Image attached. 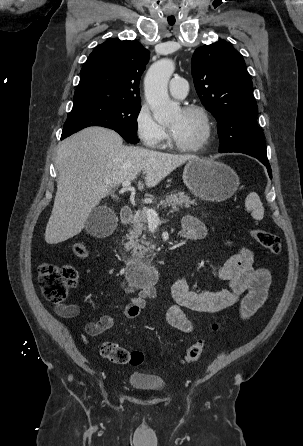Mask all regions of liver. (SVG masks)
<instances>
[{
    "label": "liver",
    "mask_w": 303,
    "mask_h": 446,
    "mask_svg": "<svg viewBox=\"0 0 303 446\" xmlns=\"http://www.w3.org/2000/svg\"><path fill=\"white\" fill-rule=\"evenodd\" d=\"M197 158L125 146L116 132L102 127L74 134L57 149L59 176L46 242L57 244L79 234L100 200L123 181H133L143 172L145 185L155 187L177 167ZM143 186L138 183L140 190Z\"/></svg>",
    "instance_id": "6515ba94"
}]
</instances>
